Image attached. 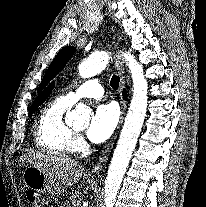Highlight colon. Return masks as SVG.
Segmentation results:
<instances>
[{
  "label": "colon",
  "instance_id": "obj_1",
  "mask_svg": "<svg viewBox=\"0 0 206 207\" xmlns=\"http://www.w3.org/2000/svg\"><path fill=\"white\" fill-rule=\"evenodd\" d=\"M28 199L32 203L33 207H48L47 200L37 192H28Z\"/></svg>",
  "mask_w": 206,
  "mask_h": 207
}]
</instances>
